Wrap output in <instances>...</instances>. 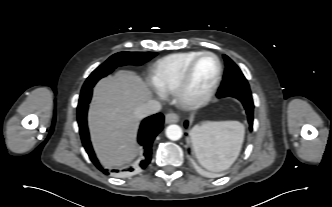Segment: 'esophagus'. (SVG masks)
Instances as JSON below:
<instances>
[{
	"instance_id": "obj_1",
	"label": "esophagus",
	"mask_w": 332,
	"mask_h": 207,
	"mask_svg": "<svg viewBox=\"0 0 332 207\" xmlns=\"http://www.w3.org/2000/svg\"><path fill=\"white\" fill-rule=\"evenodd\" d=\"M178 121H179V116L174 112H170L165 116V122L167 124L177 123Z\"/></svg>"
}]
</instances>
